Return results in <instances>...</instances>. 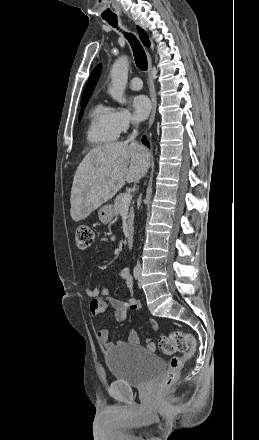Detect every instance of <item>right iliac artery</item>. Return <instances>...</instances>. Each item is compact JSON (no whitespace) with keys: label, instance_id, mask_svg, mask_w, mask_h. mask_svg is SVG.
Returning a JSON list of instances; mask_svg holds the SVG:
<instances>
[{"label":"right iliac artery","instance_id":"1","mask_svg":"<svg viewBox=\"0 0 259 440\" xmlns=\"http://www.w3.org/2000/svg\"><path fill=\"white\" fill-rule=\"evenodd\" d=\"M133 275H134V278H135L136 280L139 279V268H138V266H135V267H134V269H133Z\"/></svg>","mask_w":259,"mask_h":440}]
</instances>
